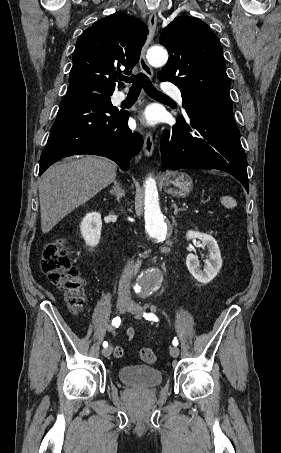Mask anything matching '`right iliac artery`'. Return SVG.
Segmentation results:
<instances>
[{"mask_svg":"<svg viewBox=\"0 0 281 453\" xmlns=\"http://www.w3.org/2000/svg\"><path fill=\"white\" fill-rule=\"evenodd\" d=\"M121 323V320H120V317H115L113 320H112V325L115 326L116 328L119 327ZM108 346V343L106 341L103 342V347L106 348Z\"/></svg>","mask_w":281,"mask_h":453,"instance_id":"right-iliac-artery-1","label":"right iliac artery"}]
</instances>
